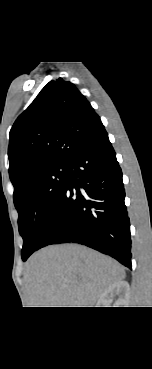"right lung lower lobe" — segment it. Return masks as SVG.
Here are the masks:
<instances>
[{
	"mask_svg": "<svg viewBox=\"0 0 152 369\" xmlns=\"http://www.w3.org/2000/svg\"><path fill=\"white\" fill-rule=\"evenodd\" d=\"M124 198L122 172L104 129L68 163L67 184L38 249L75 242L131 269L130 221Z\"/></svg>",
	"mask_w": 152,
	"mask_h": 369,
	"instance_id": "98d812e1",
	"label": "right lung lower lobe"
}]
</instances>
